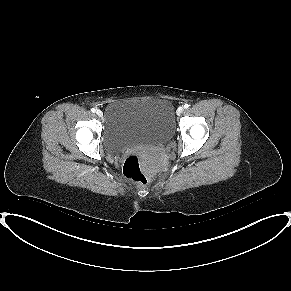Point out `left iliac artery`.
Here are the masks:
<instances>
[{
	"instance_id": "1",
	"label": "left iliac artery",
	"mask_w": 291,
	"mask_h": 291,
	"mask_svg": "<svg viewBox=\"0 0 291 291\" xmlns=\"http://www.w3.org/2000/svg\"><path fill=\"white\" fill-rule=\"evenodd\" d=\"M184 108H185V109L189 108V105H188V104H185V105H184Z\"/></svg>"
}]
</instances>
